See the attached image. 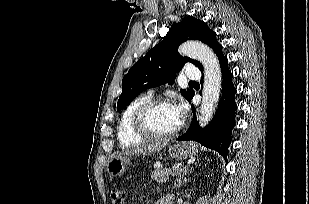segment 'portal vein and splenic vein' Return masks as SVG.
<instances>
[{"label":"portal vein and splenic vein","instance_id":"obj_1","mask_svg":"<svg viewBox=\"0 0 309 204\" xmlns=\"http://www.w3.org/2000/svg\"><path fill=\"white\" fill-rule=\"evenodd\" d=\"M181 171H182V169H176V170L173 172V175H177V174H179Z\"/></svg>","mask_w":309,"mask_h":204}]
</instances>
